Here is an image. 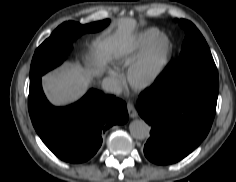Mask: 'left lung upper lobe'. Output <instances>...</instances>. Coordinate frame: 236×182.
I'll use <instances>...</instances> for the list:
<instances>
[{"label":"left lung upper lobe","instance_id":"obj_1","mask_svg":"<svg viewBox=\"0 0 236 182\" xmlns=\"http://www.w3.org/2000/svg\"><path fill=\"white\" fill-rule=\"evenodd\" d=\"M179 24L186 32L182 51L152 87L160 83L166 91L193 88L218 93V71L204 37L192 22L181 19Z\"/></svg>","mask_w":236,"mask_h":182}]
</instances>
